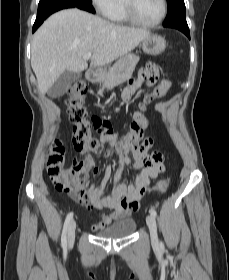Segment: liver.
<instances>
[{"label":"liver","mask_w":229,"mask_h":280,"mask_svg":"<svg viewBox=\"0 0 229 280\" xmlns=\"http://www.w3.org/2000/svg\"><path fill=\"white\" fill-rule=\"evenodd\" d=\"M150 32L116 25L79 9L51 15L35 32L31 66L38 90L45 94L64 71L82 72L83 55L92 52L91 63L104 66L135 49Z\"/></svg>","instance_id":"1"}]
</instances>
